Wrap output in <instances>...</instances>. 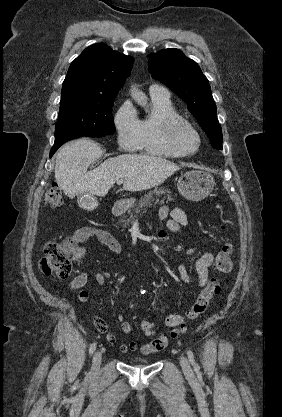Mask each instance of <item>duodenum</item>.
Masks as SVG:
<instances>
[{"instance_id":"obj_1","label":"duodenum","mask_w":282,"mask_h":417,"mask_svg":"<svg viewBox=\"0 0 282 417\" xmlns=\"http://www.w3.org/2000/svg\"><path fill=\"white\" fill-rule=\"evenodd\" d=\"M123 211H124V204L121 202H116L111 209V213L113 216H118L122 214Z\"/></svg>"}]
</instances>
